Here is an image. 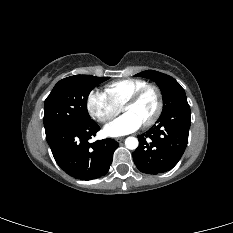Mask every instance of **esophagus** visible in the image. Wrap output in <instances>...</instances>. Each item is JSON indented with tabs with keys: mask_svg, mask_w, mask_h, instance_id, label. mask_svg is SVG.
I'll return each mask as SVG.
<instances>
[{
	"mask_svg": "<svg viewBox=\"0 0 233 233\" xmlns=\"http://www.w3.org/2000/svg\"><path fill=\"white\" fill-rule=\"evenodd\" d=\"M123 140H124L123 137H118V138H116V141L119 142V143L122 142Z\"/></svg>",
	"mask_w": 233,
	"mask_h": 233,
	"instance_id": "34e87169",
	"label": "esophagus"
}]
</instances>
